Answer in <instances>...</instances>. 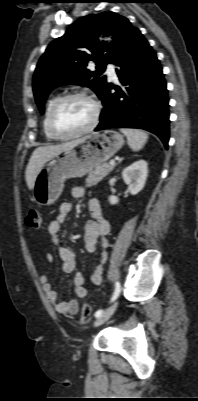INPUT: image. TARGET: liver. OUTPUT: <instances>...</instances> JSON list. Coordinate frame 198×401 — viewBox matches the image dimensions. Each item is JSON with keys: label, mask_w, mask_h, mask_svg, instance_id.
<instances>
[{"label": "liver", "mask_w": 198, "mask_h": 401, "mask_svg": "<svg viewBox=\"0 0 198 401\" xmlns=\"http://www.w3.org/2000/svg\"><path fill=\"white\" fill-rule=\"evenodd\" d=\"M77 142L79 140L36 148L30 157L25 171V179L29 190L34 188L36 177L46 161Z\"/></svg>", "instance_id": "6515ba94"}]
</instances>
